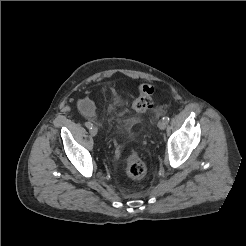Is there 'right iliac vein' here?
Masks as SVG:
<instances>
[{"mask_svg": "<svg viewBox=\"0 0 246 246\" xmlns=\"http://www.w3.org/2000/svg\"><path fill=\"white\" fill-rule=\"evenodd\" d=\"M97 132H98V130H97L96 127H92V129H90V133H91L92 136H96Z\"/></svg>", "mask_w": 246, "mask_h": 246, "instance_id": "obj_1", "label": "right iliac vein"}]
</instances>
